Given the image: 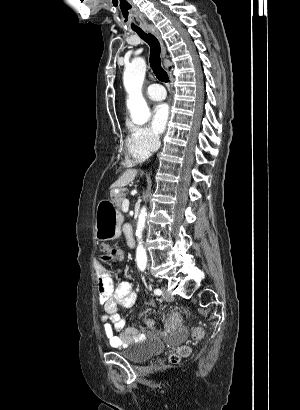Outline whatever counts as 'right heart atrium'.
Segmentation results:
<instances>
[{
  "label": "right heart atrium",
  "instance_id": "d8ad5b80",
  "mask_svg": "<svg viewBox=\"0 0 300 410\" xmlns=\"http://www.w3.org/2000/svg\"><path fill=\"white\" fill-rule=\"evenodd\" d=\"M128 150L135 159H145L160 146V136L149 126H131Z\"/></svg>",
  "mask_w": 300,
  "mask_h": 410
}]
</instances>
